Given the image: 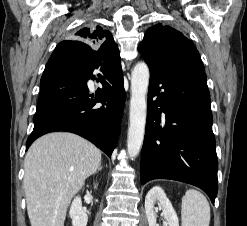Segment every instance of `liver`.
<instances>
[{
    "label": "liver",
    "instance_id": "1",
    "mask_svg": "<svg viewBox=\"0 0 247 226\" xmlns=\"http://www.w3.org/2000/svg\"><path fill=\"white\" fill-rule=\"evenodd\" d=\"M100 163V150L78 135L58 132L37 139L24 161L31 226H64L72 197Z\"/></svg>",
    "mask_w": 247,
    "mask_h": 226
}]
</instances>
